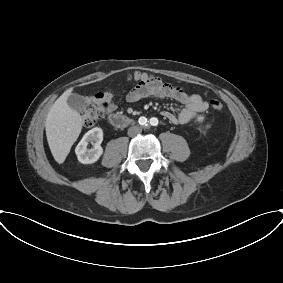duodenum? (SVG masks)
<instances>
[{
  "label": "duodenum",
  "instance_id": "1",
  "mask_svg": "<svg viewBox=\"0 0 283 283\" xmlns=\"http://www.w3.org/2000/svg\"><path fill=\"white\" fill-rule=\"evenodd\" d=\"M109 123L117 128H124L133 123V119L126 115L112 114L108 118Z\"/></svg>",
  "mask_w": 283,
  "mask_h": 283
}]
</instances>
